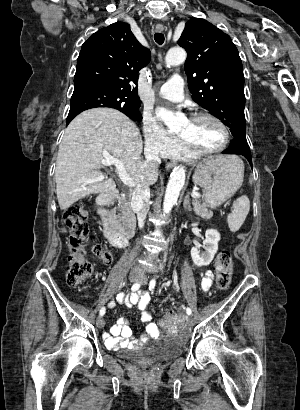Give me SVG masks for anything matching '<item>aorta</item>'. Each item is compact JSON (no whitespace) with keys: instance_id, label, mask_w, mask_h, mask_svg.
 Masks as SVG:
<instances>
[{"instance_id":"762f6f07","label":"aorta","mask_w":300,"mask_h":410,"mask_svg":"<svg viewBox=\"0 0 300 410\" xmlns=\"http://www.w3.org/2000/svg\"><path fill=\"white\" fill-rule=\"evenodd\" d=\"M186 56V52L183 48H172L166 54V64L168 66L182 64L185 62ZM156 115L165 123V125L168 126L170 130L177 131L180 129L182 120L181 118L176 117L172 112L164 108H157ZM185 178L186 173L183 166H177L173 169L167 184L163 202L164 215H168L173 206L177 203L181 189L185 183Z\"/></svg>"}]
</instances>
